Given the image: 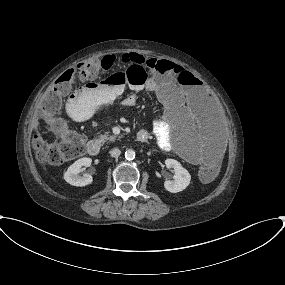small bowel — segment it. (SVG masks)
<instances>
[{
  "label": "small bowel",
  "instance_id": "1",
  "mask_svg": "<svg viewBox=\"0 0 285 285\" xmlns=\"http://www.w3.org/2000/svg\"><path fill=\"white\" fill-rule=\"evenodd\" d=\"M125 62H141L147 60L139 54H125ZM157 60V59H154ZM154 77L163 80V84H174L176 81L173 76L167 75L159 77L152 71ZM160 93V89L155 80H149L144 86L129 88L130 93L125 94L127 88L116 83H100L90 81L80 88H77L70 94L66 103V111L73 117H84L86 112L98 105L120 101L126 107L133 106L137 101L136 92L141 90ZM198 96L194 90L191 96H163L161 103L164 107L166 117L164 120L156 122L153 126V135L156 142L161 148H168L172 144L170 124L180 125L184 119L193 120L194 109L193 103L197 102ZM147 133V140L150 138V132L142 129ZM141 131V130H140ZM186 148V158L192 163L205 164L212 160L224 148V140L219 137L215 129L208 121H200L197 128L191 135L182 140Z\"/></svg>",
  "mask_w": 285,
  "mask_h": 285
}]
</instances>
